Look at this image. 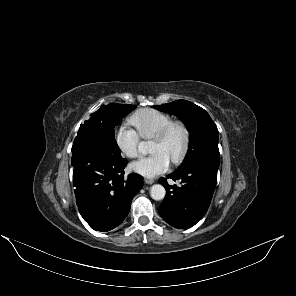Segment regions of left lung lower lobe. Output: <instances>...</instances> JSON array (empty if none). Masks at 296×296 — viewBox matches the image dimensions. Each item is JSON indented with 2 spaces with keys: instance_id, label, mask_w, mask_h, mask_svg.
I'll return each mask as SVG.
<instances>
[{
  "instance_id": "left-lung-lower-lobe-1",
  "label": "left lung lower lobe",
  "mask_w": 296,
  "mask_h": 296,
  "mask_svg": "<svg viewBox=\"0 0 296 296\" xmlns=\"http://www.w3.org/2000/svg\"><path fill=\"white\" fill-rule=\"evenodd\" d=\"M219 161V157L200 159L159 179L167 192L158 211L168 224L186 229L203 217L215 190ZM167 178L180 180L182 186L169 185Z\"/></svg>"
}]
</instances>
